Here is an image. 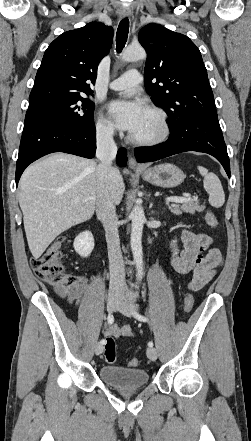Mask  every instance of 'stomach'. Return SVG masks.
I'll use <instances>...</instances> for the list:
<instances>
[{
  "instance_id": "0dacf381",
  "label": "stomach",
  "mask_w": 251,
  "mask_h": 441,
  "mask_svg": "<svg viewBox=\"0 0 251 441\" xmlns=\"http://www.w3.org/2000/svg\"><path fill=\"white\" fill-rule=\"evenodd\" d=\"M145 181L163 188H173L180 185L185 174L176 165L165 163L142 171H137Z\"/></svg>"
}]
</instances>
